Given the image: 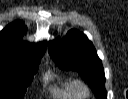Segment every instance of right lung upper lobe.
<instances>
[{
	"label": "right lung upper lobe",
	"instance_id": "1",
	"mask_svg": "<svg viewBox=\"0 0 128 99\" xmlns=\"http://www.w3.org/2000/svg\"><path fill=\"white\" fill-rule=\"evenodd\" d=\"M26 26L17 20L10 23L0 32V57H23L33 58L43 56L46 49V42L31 45L23 42V35Z\"/></svg>",
	"mask_w": 128,
	"mask_h": 99
}]
</instances>
